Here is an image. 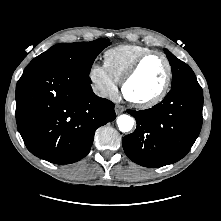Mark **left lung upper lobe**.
<instances>
[{
  "label": "left lung upper lobe",
  "instance_id": "obj_1",
  "mask_svg": "<svg viewBox=\"0 0 221 221\" xmlns=\"http://www.w3.org/2000/svg\"><path fill=\"white\" fill-rule=\"evenodd\" d=\"M172 69V87L187 80L196 79L193 70L171 52L164 49Z\"/></svg>",
  "mask_w": 221,
  "mask_h": 221
}]
</instances>
